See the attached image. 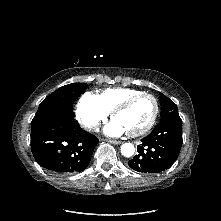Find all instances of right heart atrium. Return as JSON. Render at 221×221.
<instances>
[{
  "mask_svg": "<svg viewBox=\"0 0 221 221\" xmlns=\"http://www.w3.org/2000/svg\"><path fill=\"white\" fill-rule=\"evenodd\" d=\"M109 113L99 95L92 92L84 93L78 101L77 120L87 131H95L98 125L106 120Z\"/></svg>",
  "mask_w": 221,
  "mask_h": 221,
  "instance_id": "d8ad5b80",
  "label": "right heart atrium"
}]
</instances>
